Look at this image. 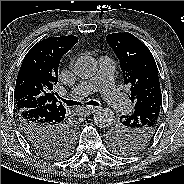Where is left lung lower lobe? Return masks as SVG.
Here are the masks:
<instances>
[{
    "mask_svg": "<svg viewBox=\"0 0 184 184\" xmlns=\"http://www.w3.org/2000/svg\"><path fill=\"white\" fill-rule=\"evenodd\" d=\"M161 100L162 99L160 98H154L145 102L138 109H136L135 117L143 119L145 118V115H153V112L160 110Z\"/></svg>",
    "mask_w": 184,
    "mask_h": 184,
    "instance_id": "0a47b994",
    "label": "left lung lower lobe"
}]
</instances>
